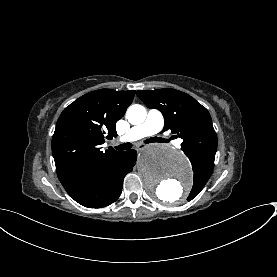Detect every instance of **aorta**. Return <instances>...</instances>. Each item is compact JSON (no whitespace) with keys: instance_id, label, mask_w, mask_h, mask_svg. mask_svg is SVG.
<instances>
[{"instance_id":"aorta-1","label":"aorta","mask_w":277,"mask_h":277,"mask_svg":"<svg viewBox=\"0 0 277 277\" xmlns=\"http://www.w3.org/2000/svg\"><path fill=\"white\" fill-rule=\"evenodd\" d=\"M127 118L133 125L141 124L146 118V109L134 104L128 108ZM137 169L149 195L165 203L182 200L193 184L186 156L166 145L146 147L138 160Z\"/></svg>"}]
</instances>
